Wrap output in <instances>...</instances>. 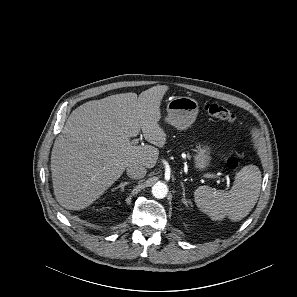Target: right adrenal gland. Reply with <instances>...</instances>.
<instances>
[{
    "label": "right adrenal gland",
    "instance_id": "1",
    "mask_svg": "<svg viewBox=\"0 0 297 297\" xmlns=\"http://www.w3.org/2000/svg\"><path fill=\"white\" fill-rule=\"evenodd\" d=\"M128 184H130L129 181L121 182V183H120L117 187H115L112 191H115V190H117V189H120L121 192H123V191H124V187H125L126 185H128Z\"/></svg>",
    "mask_w": 297,
    "mask_h": 297
}]
</instances>
